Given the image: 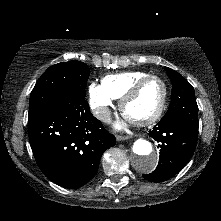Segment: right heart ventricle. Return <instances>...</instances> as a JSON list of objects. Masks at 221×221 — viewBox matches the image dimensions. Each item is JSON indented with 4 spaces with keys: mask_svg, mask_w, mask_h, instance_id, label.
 Segmentation results:
<instances>
[{
    "mask_svg": "<svg viewBox=\"0 0 221 221\" xmlns=\"http://www.w3.org/2000/svg\"><path fill=\"white\" fill-rule=\"evenodd\" d=\"M147 75H149V73L145 71H128L110 74L102 79V86L113 99H121L139 79Z\"/></svg>",
    "mask_w": 221,
    "mask_h": 221,
    "instance_id": "right-heart-ventricle-1",
    "label": "right heart ventricle"
}]
</instances>
